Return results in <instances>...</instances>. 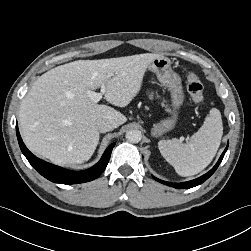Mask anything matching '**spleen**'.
<instances>
[{"instance_id": "spleen-1", "label": "spleen", "mask_w": 251, "mask_h": 251, "mask_svg": "<svg viewBox=\"0 0 251 251\" xmlns=\"http://www.w3.org/2000/svg\"><path fill=\"white\" fill-rule=\"evenodd\" d=\"M223 135L221 113L212 108L200 129L190 141L174 138L159 141L158 148L165 160L180 176H192L204 170L215 157Z\"/></svg>"}]
</instances>
